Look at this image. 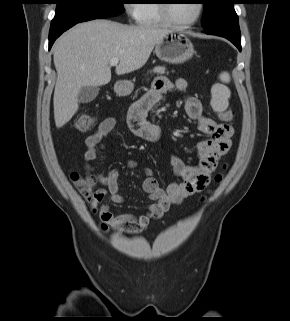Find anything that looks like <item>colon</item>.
<instances>
[{
	"label": "colon",
	"instance_id": "5ec220e1",
	"mask_svg": "<svg viewBox=\"0 0 290 321\" xmlns=\"http://www.w3.org/2000/svg\"><path fill=\"white\" fill-rule=\"evenodd\" d=\"M219 117L225 121H231L234 113L231 110H224L217 112ZM95 125V118L90 114H82L77 122L76 128L80 132H87L91 130ZM70 179L80 194L88 201L92 202L95 199L103 197V191L96 188L93 179L90 176L80 174L78 172H72ZM220 179V176L217 177Z\"/></svg>",
	"mask_w": 290,
	"mask_h": 321
}]
</instances>
